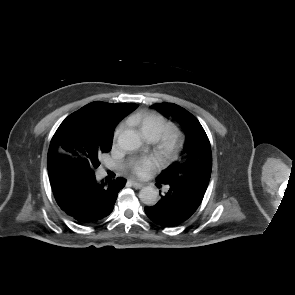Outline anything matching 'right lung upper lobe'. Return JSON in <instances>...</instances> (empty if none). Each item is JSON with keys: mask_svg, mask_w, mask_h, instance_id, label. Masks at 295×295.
I'll use <instances>...</instances> for the list:
<instances>
[{"mask_svg": "<svg viewBox=\"0 0 295 295\" xmlns=\"http://www.w3.org/2000/svg\"><path fill=\"white\" fill-rule=\"evenodd\" d=\"M135 107L134 103L92 102L69 115L54 134L47 157L50 168L58 161L82 166L88 159L90 145L113 138L121 118Z\"/></svg>", "mask_w": 295, "mask_h": 295, "instance_id": "cb5924a9", "label": "right lung upper lobe"}]
</instances>
